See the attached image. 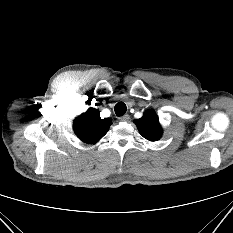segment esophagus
Here are the masks:
<instances>
[{
    "mask_svg": "<svg viewBox=\"0 0 233 233\" xmlns=\"http://www.w3.org/2000/svg\"><path fill=\"white\" fill-rule=\"evenodd\" d=\"M129 119H130V116L128 114H125L119 118L120 121H128Z\"/></svg>",
    "mask_w": 233,
    "mask_h": 233,
    "instance_id": "1",
    "label": "esophagus"
}]
</instances>
